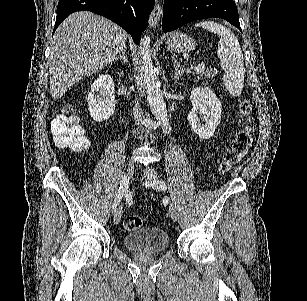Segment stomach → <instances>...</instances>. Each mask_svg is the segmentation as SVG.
I'll return each mask as SVG.
<instances>
[{
    "instance_id": "obj_1",
    "label": "stomach",
    "mask_w": 307,
    "mask_h": 301,
    "mask_svg": "<svg viewBox=\"0 0 307 301\" xmlns=\"http://www.w3.org/2000/svg\"><path fill=\"white\" fill-rule=\"evenodd\" d=\"M166 46L171 52H190L195 50L196 42L185 32H172L166 40Z\"/></svg>"
}]
</instances>
